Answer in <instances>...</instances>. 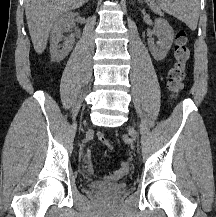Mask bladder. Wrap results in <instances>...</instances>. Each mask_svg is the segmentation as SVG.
<instances>
[{"mask_svg":"<svg viewBox=\"0 0 216 217\" xmlns=\"http://www.w3.org/2000/svg\"><path fill=\"white\" fill-rule=\"evenodd\" d=\"M90 186L92 189L96 191L106 192L112 195L120 194L126 189L125 183H116V184L106 185V186H99L96 184H92Z\"/></svg>","mask_w":216,"mask_h":217,"instance_id":"1","label":"bladder"}]
</instances>
